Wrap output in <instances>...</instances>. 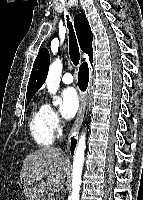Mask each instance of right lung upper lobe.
<instances>
[{"instance_id": "right-lung-upper-lobe-1", "label": "right lung upper lobe", "mask_w": 143, "mask_h": 200, "mask_svg": "<svg viewBox=\"0 0 143 200\" xmlns=\"http://www.w3.org/2000/svg\"><path fill=\"white\" fill-rule=\"evenodd\" d=\"M74 26L82 51L86 52L88 56L91 57L93 55L91 46L93 33L91 32V28L85 14L79 13L75 16ZM49 63V52L46 48H43L39 51L33 65L27 88V100H31L36 91L44 84L49 68Z\"/></svg>"}]
</instances>
